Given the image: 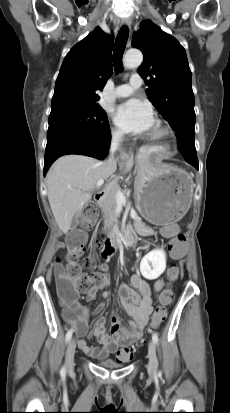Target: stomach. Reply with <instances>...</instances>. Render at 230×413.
I'll list each match as a JSON object with an SVG mask.
<instances>
[{
  "instance_id": "1",
  "label": "stomach",
  "mask_w": 230,
  "mask_h": 413,
  "mask_svg": "<svg viewBox=\"0 0 230 413\" xmlns=\"http://www.w3.org/2000/svg\"><path fill=\"white\" fill-rule=\"evenodd\" d=\"M193 181L183 169L151 162H138L135 177L136 207L150 223L163 226L176 222L188 211Z\"/></svg>"
}]
</instances>
